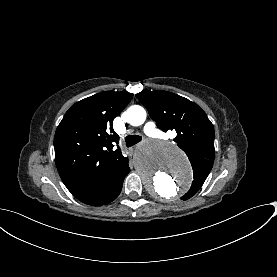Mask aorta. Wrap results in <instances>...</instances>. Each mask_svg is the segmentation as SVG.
<instances>
[{
  "label": "aorta",
  "mask_w": 277,
  "mask_h": 277,
  "mask_svg": "<svg viewBox=\"0 0 277 277\" xmlns=\"http://www.w3.org/2000/svg\"><path fill=\"white\" fill-rule=\"evenodd\" d=\"M146 111L139 105L127 110V121L139 126ZM135 167L148 193L162 201L173 200L178 193L189 189L192 182L185 154L175 145L160 140L141 142L135 153Z\"/></svg>",
  "instance_id": "aorta-1"
}]
</instances>
